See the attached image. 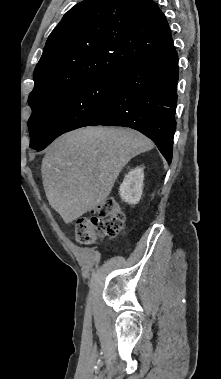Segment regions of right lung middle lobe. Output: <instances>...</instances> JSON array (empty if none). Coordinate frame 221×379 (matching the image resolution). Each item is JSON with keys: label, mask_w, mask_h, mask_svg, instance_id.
Masks as SVG:
<instances>
[{"label": "right lung middle lobe", "mask_w": 221, "mask_h": 379, "mask_svg": "<svg viewBox=\"0 0 221 379\" xmlns=\"http://www.w3.org/2000/svg\"><path fill=\"white\" fill-rule=\"evenodd\" d=\"M119 73L96 74L29 101L30 147L44 149L57 136L89 125L111 102Z\"/></svg>", "instance_id": "dd1d6c3e"}]
</instances>
